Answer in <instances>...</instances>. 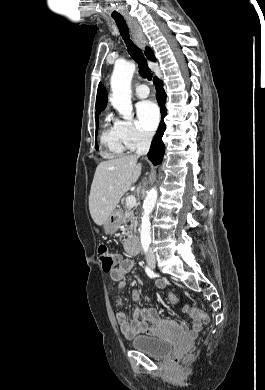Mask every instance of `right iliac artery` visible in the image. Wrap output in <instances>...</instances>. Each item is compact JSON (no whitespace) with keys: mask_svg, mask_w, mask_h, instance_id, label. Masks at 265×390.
Here are the masks:
<instances>
[{"mask_svg":"<svg viewBox=\"0 0 265 390\" xmlns=\"http://www.w3.org/2000/svg\"><path fill=\"white\" fill-rule=\"evenodd\" d=\"M147 250L148 248L144 247V251L147 252ZM145 271L150 278H155V273L148 266H146Z\"/></svg>","mask_w":265,"mask_h":390,"instance_id":"1","label":"right iliac artery"}]
</instances>
